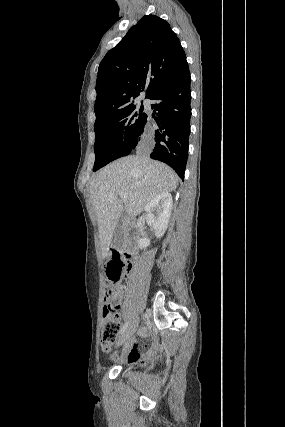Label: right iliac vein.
I'll list each match as a JSON object with an SVG mask.
<instances>
[{
	"label": "right iliac vein",
	"instance_id": "63e3f726",
	"mask_svg": "<svg viewBox=\"0 0 285 427\" xmlns=\"http://www.w3.org/2000/svg\"><path fill=\"white\" fill-rule=\"evenodd\" d=\"M137 326H138V319L136 318L132 321V323L126 329V331L121 335V337L119 338V340L117 342V346H120L124 342L130 340L131 337L133 336V334L135 333Z\"/></svg>",
	"mask_w": 285,
	"mask_h": 427
}]
</instances>
